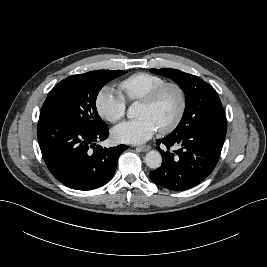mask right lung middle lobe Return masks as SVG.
<instances>
[{"mask_svg":"<svg viewBox=\"0 0 267 267\" xmlns=\"http://www.w3.org/2000/svg\"><path fill=\"white\" fill-rule=\"evenodd\" d=\"M122 70H95L69 76L48 94L42 112L60 116L91 131L107 128L96 109V98L109 81L126 74Z\"/></svg>","mask_w":267,"mask_h":267,"instance_id":"right-lung-middle-lobe-1","label":"right lung middle lobe"}]
</instances>
